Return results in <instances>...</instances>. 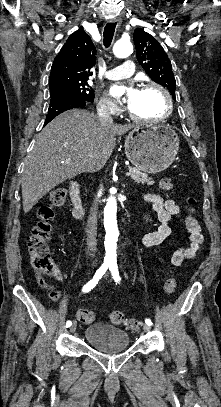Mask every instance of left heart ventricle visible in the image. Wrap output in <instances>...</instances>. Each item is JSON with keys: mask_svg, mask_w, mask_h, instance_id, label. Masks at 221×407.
I'll use <instances>...</instances> for the list:
<instances>
[{"mask_svg": "<svg viewBox=\"0 0 221 407\" xmlns=\"http://www.w3.org/2000/svg\"><path fill=\"white\" fill-rule=\"evenodd\" d=\"M128 104L135 115L146 119L159 118L166 109L163 94L155 88L140 90L134 98L128 100Z\"/></svg>", "mask_w": 221, "mask_h": 407, "instance_id": "b2bd125f", "label": "left heart ventricle"}]
</instances>
